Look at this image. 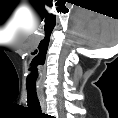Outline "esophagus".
<instances>
[{"label":"esophagus","mask_w":118,"mask_h":118,"mask_svg":"<svg viewBox=\"0 0 118 118\" xmlns=\"http://www.w3.org/2000/svg\"><path fill=\"white\" fill-rule=\"evenodd\" d=\"M39 99H40L42 111L44 112L46 110V103H45L44 94L42 92H39Z\"/></svg>","instance_id":"esophagus-1"}]
</instances>
